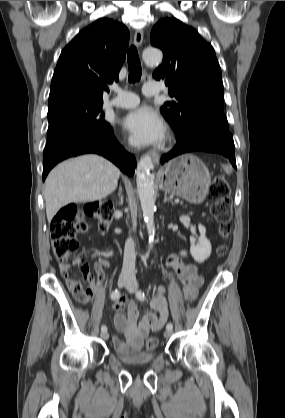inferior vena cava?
<instances>
[{
  "label": "inferior vena cava",
  "instance_id": "obj_1",
  "mask_svg": "<svg viewBox=\"0 0 285 418\" xmlns=\"http://www.w3.org/2000/svg\"><path fill=\"white\" fill-rule=\"evenodd\" d=\"M135 245L134 241L129 238L125 243L122 275L134 276L135 275Z\"/></svg>",
  "mask_w": 285,
  "mask_h": 418
}]
</instances>
